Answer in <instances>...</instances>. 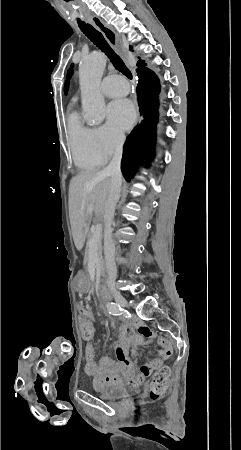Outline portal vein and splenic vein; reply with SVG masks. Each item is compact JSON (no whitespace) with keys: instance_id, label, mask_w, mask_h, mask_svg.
Returning <instances> with one entry per match:
<instances>
[{"instance_id":"obj_1","label":"portal vein and splenic vein","mask_w":241,"mask_h":450,"mask_svg":"<svg viewBox=\"0 0 241 450\" xmlns=\"http://www.w3.org/2000/svg\"><path fill=\"white\" fill-rule=\"evenodd\" d=\"M101 236H102V224H97V226H95L94 228V232H92V238H90L89 244H91V242H96V240H99Z\"/></svg>"}]
</instances>
